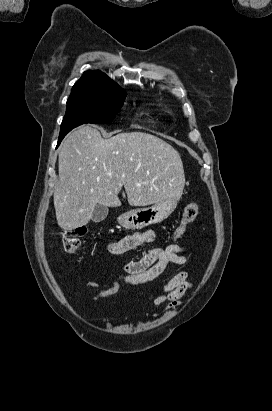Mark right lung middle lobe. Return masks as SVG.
<instances>
[{
    "label": "right lung middle lobe",
    "mask_w": 272,
    "mask_h": 411,
    "mask_svg": "<svg viewBox=\"0 0 272 411\" xmlns=\"http://www.w3.org/2000/svg\"><path fill=\"white\" fill-rule=\"evenodd\" d=\"M126 93L121 89L106 88L71 94L67 100L60 135L64 137L73 128L84 123L111 122L122 107Z\"/></svg>",
    "instance_id": "obj_1"
}]
</instances>
